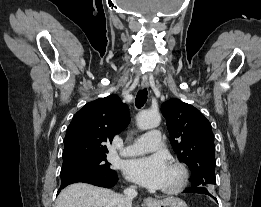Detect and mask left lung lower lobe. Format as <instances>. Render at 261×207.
Instances as JSON below:
<instances>
[{
	"instance_id": "1",
	"label": "left lung lower lobe",
	"mask_w": 261,
	"mask_h": 207,
	"mask_svg": "<svg viewBox=\"0 0 261 207\" xmlns=\"http://www.w3.org/2000/svg\"><path fill=\"white\" fill-rule=\"evenodd\" d=\"M184 193H199V194H206L211 196L213 199L217 201L215 197H213L209 191L205 187H191L184 190Z\"/></svg>"
}]
</instances>
